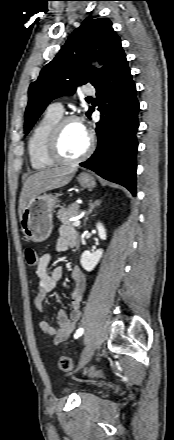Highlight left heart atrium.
Wrapping results in <instances>:
<instances>
[{
	"instance_id": "1",
	"label": "left heart atrium",
	"mask_w": 174,
	"mask_h": 440,
	"mask_svg": "<svg viewBox=\"0 0 174 440\" xmlns=\"http://www.w3.org/2000/svg\"><path fill=\"white\" fill-rule=\"evenodd\" d=\"M78 124L82 128V130L86 131L84 125L81 122H78Z\"/></svg>"
}]
</instances>
